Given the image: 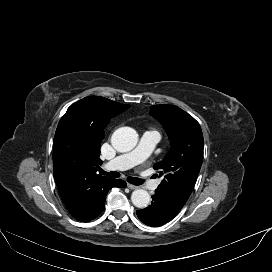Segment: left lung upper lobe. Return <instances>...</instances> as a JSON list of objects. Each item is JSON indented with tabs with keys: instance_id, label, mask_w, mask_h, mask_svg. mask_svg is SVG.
Returning <instances> with one entry per match:
<instances>
[{
	"instance_id": "obj_1",
	"label": "left lung upper lobe",
	"mask_w": 272,
	"mask_h": 272,
	"mask_svg": "<svg viewBox=\"0 0 272 272\" xmlns=\"http://www.w3.org/2000/svg\"><path fill=\"white\" fill-rule=\"evenodd\" d=\"M150 114L166 129L171 146L164 159L154 164L163 177L155 192L183 207L203 161L202 130L192 116L173 105H153Z\"/></svg>"
}]
</instances>
